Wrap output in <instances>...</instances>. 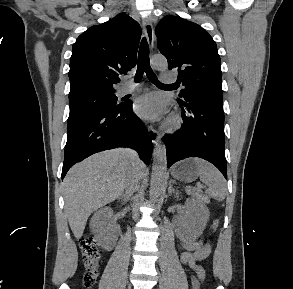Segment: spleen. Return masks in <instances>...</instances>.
Listing matches in <instances>:
<instances>
[{"mask_svg":"<svg viewBox=\"0 0 293 289\" xmlns=\"http://www.w3.org/2000/svg\"><path fill=\"white\" fill-rule=\"evenodd\" d=\"M194 160L199 169L200 180L208 187L206 193L216 200H224L227 187L222 174L209 162L200 158Z\"/></svg>","mask_w":293,"mask_h":289,"instance_id":"obj_1","label":"spleen"}]
</instances>
